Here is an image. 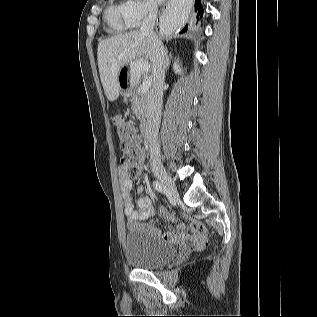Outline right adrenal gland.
I'll list each match as a JSON object with an SVG mask.
<instances>
[{
  "label": "right adrenal gland",
  "mask_w": 317,
  "mask_h": 317,
  "mask_svg": "<svg viewBox=\"0 0 317 317\" xmlns=\"http://www.w3.org/2000/svg\"><path fill=\"white\" fill-rule=\"evenodd\" d=\"M165 58H166V71L169 69L170 60L172 58L171 53L168 55V50L165 48Z\"/></svg>",
  "instance_id": "2a0ac1e0"
}]
</instances>
